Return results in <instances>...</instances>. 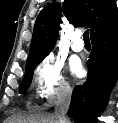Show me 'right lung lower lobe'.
<instances>
[{"label":"right lung lower lobe","instance_id":"right-lung-lower-lobe-1","mask_svg":"<svg viewBox=\"0 0 118 123\" xmlns=\"http://www.w3.org/2000/svg\"><path fill=\"white\" fill-rule=\"evenodd\" d=\"M88 76L75 86L68 115L77 123L95 122L118 78V27L92 40Z\"/></svg>","mask_w":118,"mask_h":123}]
</instances>
